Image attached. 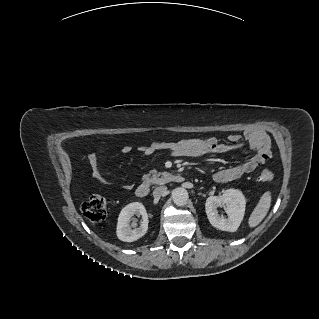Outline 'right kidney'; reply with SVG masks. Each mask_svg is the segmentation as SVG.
<instances>
[{
	"mask_svg": "<svg viewBox=\"0 0 319 319\" xmlns=\"http://www.w3.org/2000/svg\"><path fill=\"white\" fill-rule=\"evenodd\" d=\"M134 214L142 216L141 225L136 227L130 221ZM148 230V215L144 205L140 202H132L126 205L120 212L117 222L116 234L117 237L124 242H133L140 237L144 236Z\"/></svg>",
	"mask_w": 319,
	"mask_h": 319,
	"instance_id": "right-kidney-1",
	"label": "right kidney"
}]
</instances>
